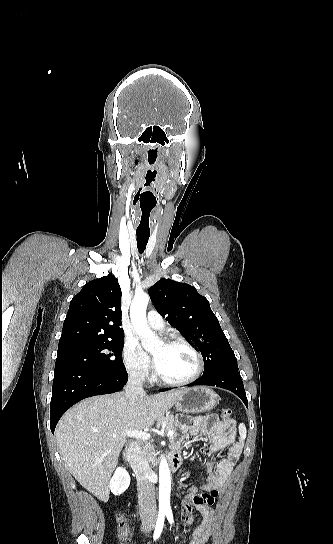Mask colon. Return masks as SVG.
Masks as SVG:
<instances>
[{
  "instance_id": "5ec220e1",
  "label": "colon",
  "mask_w": 333,
  "mask_h": 544,
  "mask_svg": "<svg viewBox=\"0 0 333 544\" xmlns=\"http://www.w3.org/2000/svg\"><path fill=\"white\" fill-rule=\"evenodd\" d=\"M232 416V410L230 408H225L221 411V418L224 421L230 422ZM117 528L118 535L120 539L125 540L128 537V529L125 523V520L121 514L117 515Z\"/></svg>"
}]
</instances>
